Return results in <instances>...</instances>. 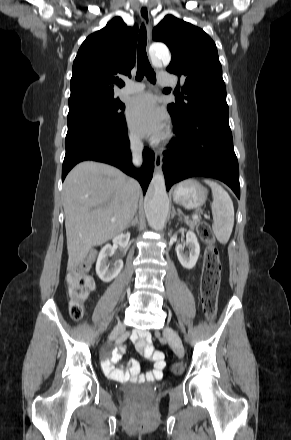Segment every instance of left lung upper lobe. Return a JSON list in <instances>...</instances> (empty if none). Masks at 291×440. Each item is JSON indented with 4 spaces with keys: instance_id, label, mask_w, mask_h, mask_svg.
<instances>
[{
    "instance_id": "left-lung-upper-lobe-1",
    "label": "left lung upper lobe",
    "mask_w": 291,
    "mask_h": 440,
    "mask_svg": "<svg viewBox=\"0 0 291 440\" xmlns=\"http://www.w3.org/2000/svg\"><path fill=\"white\" fill-rule=\"evenodd\" d=\"M153 39L172 53L167 70L184 81L182 94L168 105L171 117L182 122L200 112L228 113L226 87L214 41L202 29L166 15L153 29ZM180 85L176 90L180 91ZM167 89L165 93H169Z\"/></svg>"
}]
</instances>
